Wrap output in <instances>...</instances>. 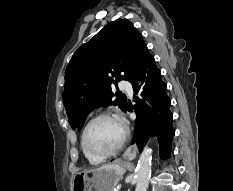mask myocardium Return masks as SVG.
I'll return each mask as SVG.
<instances>
[{"label": "myocardium", "instance_id": "1", "mask_svg": "<svg viewBox=\"0 0 233 191\" xmlns=\"http://www.w3.org/2000/svg\"><path fill=\"white\" fill-rule=\"evenodd\" d=\"M100 119H111V120H116L118 122H120L123 126V135L120 139V141L109 151L104 152V153H95L93 151H91L87 145V133L89 128L91 127V125L100 120ZM128 128L126 127V125L121 121L120 118H118L117 116L111 114V113H100L95 115L93 118H91L87 124L85 125L83 132H82V137H81V144H82V148L85 151V153L93 158H97V159H105L109 156H112L113 154H115L116 152H118L125 144L127 138H128Z\"/></svg>", "mask_w": 233, "mask_h": 191}]
</instances>
